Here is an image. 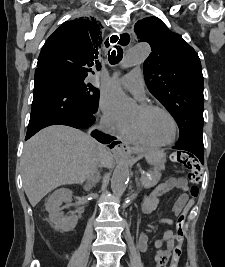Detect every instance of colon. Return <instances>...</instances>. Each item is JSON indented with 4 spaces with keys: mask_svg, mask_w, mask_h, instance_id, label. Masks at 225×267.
Masks as SVG:
<instances>
[{
    "mask_svg": "<svg viewBox=\"0 0 225 267\" xmlns=\"http://www.w3.org/2000/svg\"><path fill=\"white\" fill-rule=\"evenodd\" d=\"M172 161L181 164L188 170V177L192 183L189 189L190 199L186 202L177 218L176 245L173 250L172 260L169 267H177L182 254L184 240V223L189 210L191 209L194 199L199 194V183L202 180V166L198 159L191 153L184 151L174 152L171 156ZM156 267H166V260L158 262Z\"/></svg>",
    "mask_w": 225,
    "mask_h": 267,
    "instance_id": "5ec220e1",
    "label": "colon"
}]
</instances>
